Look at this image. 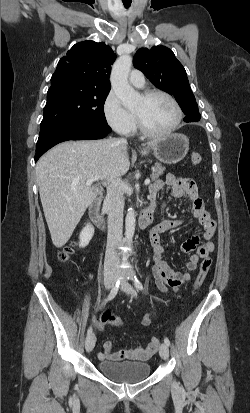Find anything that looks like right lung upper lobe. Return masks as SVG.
<instances>
[{
	"instance_id": "obj_1",
	"label": "right lung upper lobe",
	"mask_w": 250,
	"mask_h": 413,
	"mask_svg": "<svg viewBox=\"0 0 250 413\" xmlns=\"http://www.w3.org/2000/svg\"><path fill=\"white\" fill-rule=\"evenodd\" d=\"M115 59L116 54L103 42H79L58 62L49 90L63 85H77L110 91V66Z\"/></svg>"
}]
</instances>
